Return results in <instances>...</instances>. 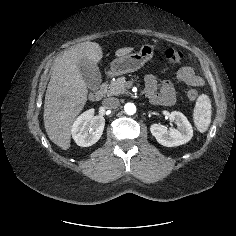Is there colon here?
<instances>
[{"label":"colon","mask_w":236,"mask_h":236,"mask_svg":"<svg viewBox=\"0 0 236 236\" xmlns=\"http://www.w3.org/2000/svg\"><path fill=\"white\" fill-rule=\"evenodd\" d=\"M165 58L169 64L177 65L182 62L184 55L178 49L169 48L165 52ZM187 95L190 100H196L198 97V92L195 89H189Z\"/></svg>","instance_id":"5ec220e1"}]
</instances>
